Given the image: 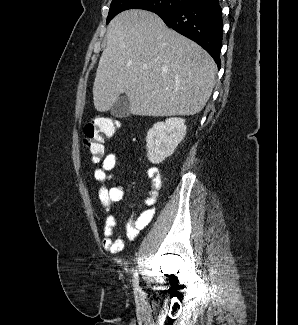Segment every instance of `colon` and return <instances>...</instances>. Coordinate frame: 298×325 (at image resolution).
<instances>
[{
  "instance_id": "obj_1",
  "label": "colon",
  "mask_w": 298,
  "mask_h": 325,
  "mask_svg": "<svg viewBox=\"0 0 298 325\" xmlns=\"http://www.w3.org/2000/svg\"><path fill=\"white\" fill-rule=\"evenodd\" d=\"M120 122L116 119L98 117L84 127V145L90 151L93 161L104 151V143L118 130Z\"/></svg>"
}]
</instances>
